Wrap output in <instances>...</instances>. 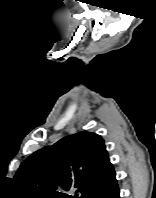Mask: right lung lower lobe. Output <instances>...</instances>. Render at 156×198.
<instances>
[{"mask_svg":"<svg viewBox=\"0 0 156 198\" xmlns=\"http://www.w3.org/2000/svg\"><path fill=\"white\" fill-rule=\"evenodd\" d=\"M103 198H120L119 197V189L118 186H116L114 189H112L107 195H105Z\"/></svg>","mask_w":156,"mask_h":198,"instance_id":"1","label":"right lung lower lobe"}]
</instances>
